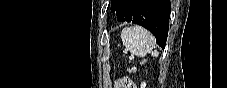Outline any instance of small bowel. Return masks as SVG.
<instances>
[{"instance_id":"obj_1","label":"small bowel","mask_w":227,"mask_h":88,"mask_svg":"<svg viewBox=\"0 0 227 88\" xmlns=\"http://www.w3.org/2000/svg\"><path fill=\"white\" fill-rule=\"evenodd\" d=\"M126 82H128V79H120V80H118V81H116L115 82V86L116 87H121V86H123Z\"/></svg>"}]
</instances>
